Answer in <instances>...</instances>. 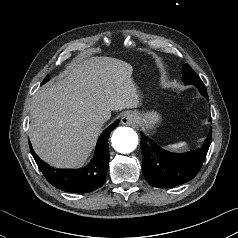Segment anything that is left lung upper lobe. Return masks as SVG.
I'll use <instances>...</instances> for the list:
<instances>
[{
  "instance_id": "left-lung-upper-lobe-1",
  "label": "left lung upper lobe",
  "mask_w": 238,
  "mask_h": 238,
  "mask_svg": "<svg viewBox=\"0 0 238 238\" xmlns=\"http://www.w3.org/2000/svg\"><path fill=\"white\" fill-rule=\"evenodd\" d=\"M184 74H183V81L185 84H192L199 88L200 92L207 97V91L204 83L198 77V75L194 72V70L188 65L185 64L183 67Z\"/></svg>"
}]
</instances>
